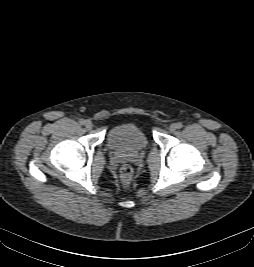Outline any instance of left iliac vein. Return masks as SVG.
<instances>
[{"label":"left iliac vein","instance_id":"1","mask_svg":"<svg viewBox=\"0 0 254 267\" xmlns=\"http://www.w3.org/2000/svg\"><path fill=\"white\" fill-rule=\"evenodd\" d=\"M177 129V124L173 123L169 126V131L174 132Z\"/></svg>","mask_w":254,"mask_h":267}]
</instances>
